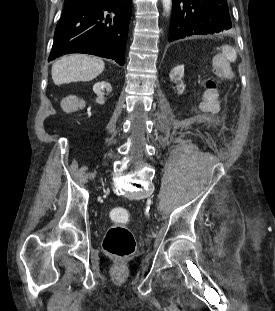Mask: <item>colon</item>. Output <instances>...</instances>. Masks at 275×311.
<instances>
[{
	"label": "colon",
	"instance_id": "colon-1",
	"mask_svg": "<svg viewBox=\"0 0 275 311\" xmlns=\"http://www.w3.org/2000/svg\"><path fill=\"white\" fill-rule=\"evenodd\" d=\"M219 54L217 56H220ZM110 217L114 222L107 230L103 249L113 257L123 260L131 256L136 248V241L131 230L126 226L130 221V214L124 208H112Z\"/></svg>",
	"mask_w": 275,
	"mask_h": 311
}]
</instances>
